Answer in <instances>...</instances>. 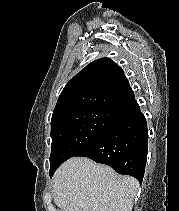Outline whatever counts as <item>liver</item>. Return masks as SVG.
<instances>
[{"mask_svg": "<svg viewBox=\"0 0 179 211\" xmlns=\"http://www.w3.org/2000/svg\"><path fill=\"white\" fill-rule=\"evenodd\" d=\"M138 189L135 178L85 157L67 160L53 176V199L60 211H132Z\"/></svg>", "mask_w": 179, "mask_h": 211, "instance_id": "liver-1", "label": "liver"}]
</instances>
